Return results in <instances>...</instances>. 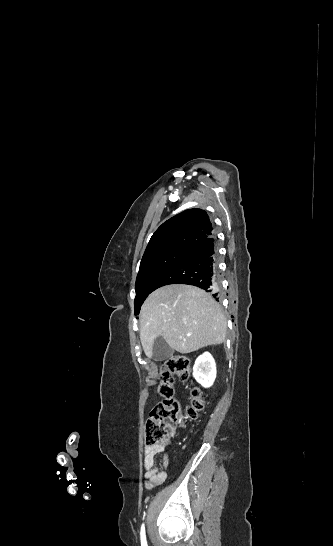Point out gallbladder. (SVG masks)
Returning a JSON list of instances; mask_svg holds the SVG:
<instances>
[{
	"label": "gallbladder",
	"instance_id": "gallbladder-1",
	"mask_svg": "<svg viewBox=\"0 0 333 546\" xmlns=\"http://www.w3.org/2000/svg\"><path fill=\"white\" fill-rule=\"evenodd\" d=\"M174 354L172 349L163 339L162 336L156 338L153 344L152 358L155 361H163Z\"/></svg>",
	"mask_w": 333,
	"mask_h": 546
}]
</instances>
